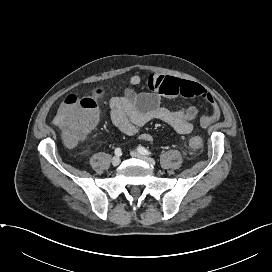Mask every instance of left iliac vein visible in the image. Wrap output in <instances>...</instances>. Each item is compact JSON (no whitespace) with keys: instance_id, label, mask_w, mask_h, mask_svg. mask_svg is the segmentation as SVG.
I'll return each mask as SVG.
<instances>
[{"instance_id":"4c4485c4","label":"left iliac vein","mask_w":272,"mask_h":272,"mask_svg":"<svg viewBox=\"0 0 272 272\" xmlns=\"http://www.w3.org/2000/svg\"><path fill=\"white\" fill-rule=\"evenodd\" d=\"M131 155L135 158H139V159H142L144 160L145 162L151 164V165H155V160L151 157H148V156H145L137 151H132L131 152Z\"/></svg>"}]
</instances>
